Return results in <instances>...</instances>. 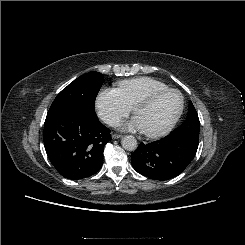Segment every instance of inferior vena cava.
<instances>
[{
  "mask_svg": "<svg viewBox=\"0 0 245 245\" xmlns=\"http://www.w3.org/2000/svg\"><path fill=\"white\" fill-rule=\"evenodd\" d=\"M107 124L110 126H119L120 125V119L119 118H115V117H111L107 120Z\"/></svg>",
  "mask_w": 245,
  "mask_h": 245,
  "instance_id": "602c4592",
  "label": "inferior vena cava"
}]
</instances>
